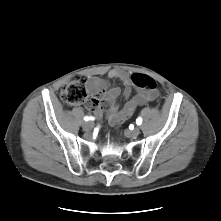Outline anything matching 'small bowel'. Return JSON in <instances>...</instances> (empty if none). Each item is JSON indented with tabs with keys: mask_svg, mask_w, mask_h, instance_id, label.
<instances>
[{
	"mask_svg": "<svg viewBox=\"0 0 221 221\" xmlns=\"http://www.w3.org/2000/svg\"><path fill=\"white\" fill-rule=\"evenodd\" d=\"M134 75L145 74H130L120 69H112L108 73L109 79H118L124 85L123 96L128 100L122 108L115 103L116 98L121 93L119 87H110L107 80L98 77L85 78L86 86L91 94L89 109L97 117H101L104 112H107L108 122L111 125H115L130 118L138 106L156 99L158 96L157 91L143 90L138 87L133 81ZM134 86L138 87V92L134 97L130 98Z\"/></svg>",
	"mask_w": 221,
	"mask_h": 221,
	"instance_id": "obj_1",
	"label": "small bowel"
}]
</instances>
